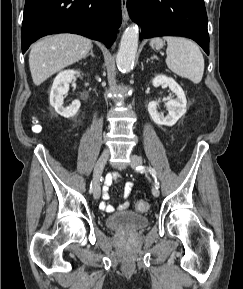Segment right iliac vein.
Segmentation results:
<instances>
[{"instance_id":"63e3f726","label":"right iliac vein","mask_w":243,"mask_h":289,"mask_svg":"<svg viewBox=\"0 0 243 289\" xmlns=\"http://www.w3.org/2000/svg\"><path fill=\"white\" fill-rule=\"evenodd\" d=\"M109 158V152L104 151L101 156L99 157L93 172V196L95 199H99L101 195V187H100V177L102 175V172L104 170V167L107 163V160Z\"/></svg>"}]
</instances>
